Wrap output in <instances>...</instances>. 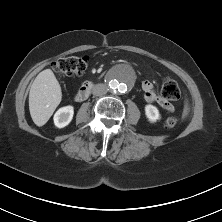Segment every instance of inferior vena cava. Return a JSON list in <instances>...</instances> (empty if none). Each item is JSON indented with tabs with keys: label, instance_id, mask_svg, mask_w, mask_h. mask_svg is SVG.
I'll list each match as a JSON object with an SVG mask.
<instances>
[{
	"label": "inferior vena cava",
	"instance_id": "1",
	"mask_svg": "<svg viewBox=\"0 0 222 222\" xmlns=\"http://www.w3.org/2000/svg\"><path fill=\"white\" fill-rule=\"evenodd\" d=\"M108 91V87L105 84H96L93 89L92 93L96 96H102L105 95Z\"/></svg>",
	"mask_w": 222,
	"mask_h": 222
}]
</instances>
